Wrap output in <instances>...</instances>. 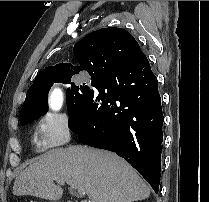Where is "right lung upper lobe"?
I'll return each instance as SVG.
<instances>
[{
  "mask_svg": "<svg viewBox=\"0 0 209 202\" xmlns=\"http://www.w3.org/2000/svg\"><path fill=\"white\" fill-rule=\"evenodd\" d=\"M73 53L78 65L60 63L46 67L37 75L27 91L21 111L42 104L38 94L51 78L86 71L93 80L110 75L125 80L131 64L133 71L138 68L135 59L145 57L135 38L128 31L115 27L102 28L88 34L74 45Z\"/></svg>",
  "mask_w": 209,
  "mask_h": 202,
  "instance_id": "1",
  "label": "right lung upper lobe"
}]
</instances>
